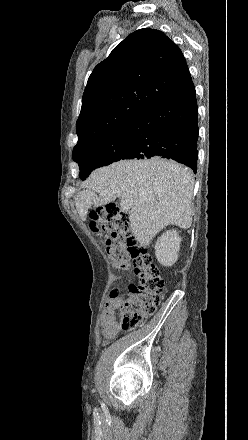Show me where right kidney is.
Instances as JSON below:
<instances>
[{
	"label": "right kidney",
	"instance_id": "right-kidney-1",
	"mask_svg": "<svg viewBox=\"0 0 248 440\" xmlns=\"http://www.w3.org/2000/svg\"><path fill=\"white\" fill-rule=\"evenodd\" d=\"M181 240L176 230L166 231L157 239L155 254L163 266H171L177 261Z\"/></svg>",
	"mask_w": 248,
	"mask_h": 440
}]
</instances>
